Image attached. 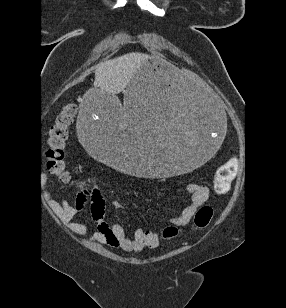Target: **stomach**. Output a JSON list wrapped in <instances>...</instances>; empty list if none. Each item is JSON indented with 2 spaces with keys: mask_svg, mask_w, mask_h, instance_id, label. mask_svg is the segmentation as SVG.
Returning a JSON list of instances; mask_svg holds the SVG:
<instances>
[{
  "mask_svg": "<svg viewBox=\"0 0 286 308\" xmlns=\"http://www.w3.org/2000/svg\"><path fill=\"white\" fill-rule=\"evenodd\" d=\"M214 91L186 81L169 60H140L124 103L108 89H84L75 124L95 161L131 177L163 182L202 168L225 144L226 112Z\"/></svg>",
  "mask_w": 286,
  "mask_h": 308,
  "instance_id": "stomach-1",
  "label": "stomach"
}]
</instances>
